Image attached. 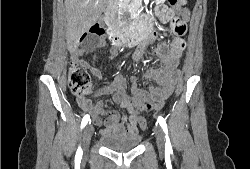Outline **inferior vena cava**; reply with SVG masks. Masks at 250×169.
<instances>
[{
  "label": "inferior vena cava",
  "mask_w": 250,
  "mask_h": 169,
  "mask_svg": "<svg viewBox=\"0 0 250 169\" xmlns=\"http://www.w3.org/2000/svg\"><path fill=\"white\" fill-rule=\"evenodd\" d=\"M124 18H125V20H128V18H127V14H126V16H124Z\"/></svg>",
  "instance_id": "1"
}]
</instances>
